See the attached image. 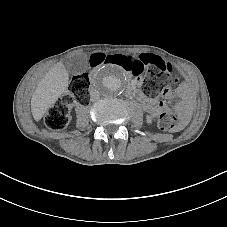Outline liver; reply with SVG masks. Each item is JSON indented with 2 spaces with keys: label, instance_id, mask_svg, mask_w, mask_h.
Instances as JSON below:
<instances>
[{
  "label": "liver",
  "instance_id": "liver-1",
  "mask_svg": "<svg viewBox=\"0 0 227 227\" xmlns=\"http://www.w3.org/2000/svg\"><path fill=\"white\" fill-rule=\"evenodd\" d=\"M69 73L62 62L52 67L38 83L31 97V112L35 121L42 119L49 108L64 94Z\"/></svg>",
  "mask_w": 227,
  "mask_h": 227
}]
</instances>
